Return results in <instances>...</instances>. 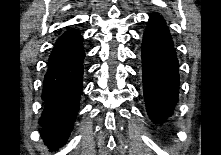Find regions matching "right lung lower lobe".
<instances>
[{"mask_svg": "<svg viewBox=\"0 0 221 155\" xmlns=\"http://www.w3.org/2000/svg\"><path fill=\"white\" fill-rule=\"evenodd\" d=\"M82 39L79 32L69 29L57 39L49 57L42 91L45 109L39 124L45 143L54 150L67 140L79 109L85 57Z\"/></svg>", "mask_w": 221, "mask_h": 155, "instance_id": "1", "label": "right lung lower lobe"}]
</instances>
